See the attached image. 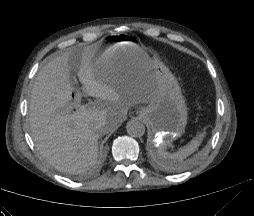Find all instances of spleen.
Instances as JSON below:
<instances>
[{
    "label": "spleen",
    "instance_id": "1",
    "mask_svg": "<svg viewBox=\"0 0 254 216\" xmlns=\"http://www.w3.org/2000/svg\"><path fill=\"white\" fill-rule=\"evenodd\" d=\"M204 133L197 135L187 145L180 148L177 152L168 153L167 151L157 148L155 149L157 159L160 163L165 165L167 168L174 169L178 166L179 162L183 161L200 146Z\"/></svg>",
    "mask_w": 254,
    "mask_h": 216
}]
</instances>
